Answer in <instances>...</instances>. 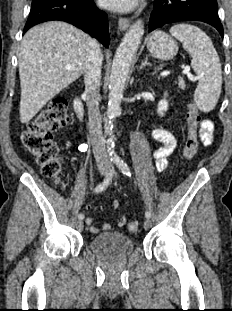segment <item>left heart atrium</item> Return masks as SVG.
Here are the masks:
<instances>
[{"label": "left heart atrium", "mask_w": 232, "mask_h": 311, "mask_svg": "<svg viewBox=\"0 0 232 311\" xmlns=\"http://www.w3.org/2000/svg\"><path fill=\"white\" fill-rule=\"evenodd\" d=\"M100 4L110 10L127 12L138 5L139 0H99Z\"/></svg>", "instance_id": "1"}]
</instances>
